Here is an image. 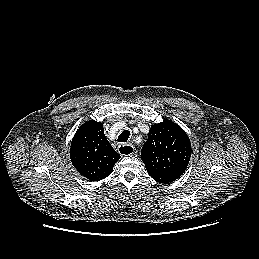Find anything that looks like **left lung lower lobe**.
I'll return each instance as SVG.
<instances>
[{
	"label": "left lung lower lobe",
	"instance_id": "obj_1",
	"mask_svg": "<svg viewBox=\"0 0 259 259\" xmlns=\"http://www.w3.org/2000/svg\"><path fill=\"white\" fill-rule=\"evenodd\" d=\"M177 178H172V177H169V176H167V177H165V178H162V179H159L158 180V182H161V183H170V182H172V181H174V180H176Z\"/></svg>",
	"mask_w": 259,
	"mask_h": 259
}]
</instances>
